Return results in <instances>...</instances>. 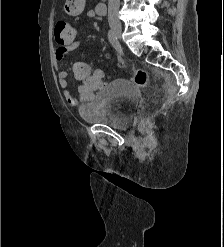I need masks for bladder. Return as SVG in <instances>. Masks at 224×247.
I'll use <instances>...</instances> for the list:
<instances>
[{"mask_svg": "<svg viewBox=\"0 0 224 247\" xmlns=\"http://www.w3.org/2000/svg\"><path fill=\"white\" fill-rule=\"evenodd\" d=\"M139 97L134 84L124 78L107 83L78 107L87 123L126 130L134 122Z\"/></svg>", "mask_w": 224, "mask_h": 247, "instance_id": "bladder-1", "label": "bladder"}]
</instances>
